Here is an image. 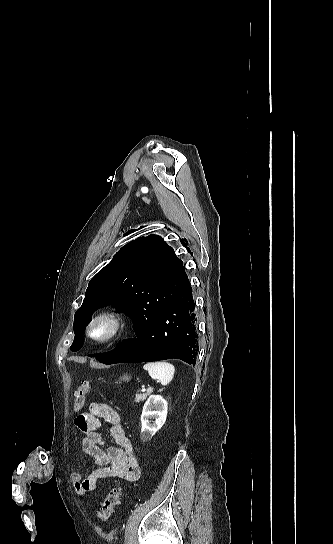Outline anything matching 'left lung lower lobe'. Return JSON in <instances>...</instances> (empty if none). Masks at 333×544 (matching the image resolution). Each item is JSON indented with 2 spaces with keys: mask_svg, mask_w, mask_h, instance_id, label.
<instances>
[{
  "mask_svg": "<svg viewBox=\"0 0 333 544\" xmlns=\"http://www.w3.org/2000/svg\"><path fill=\"white\" fill-rule=\"evenodd\" d=\"M134 331L136 338L127 340L115 353L95 357L105 364L170 358L195 364L198 353L197 315L190 284L153 319L134 325Z\"/></svg>",
  "mask_w": 333,
  "mask_h": 544,
  "instance_id": "obj_1",
  "label": "left lung lower lobe"
}]
</instances>
